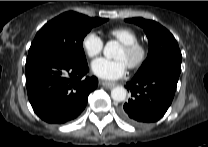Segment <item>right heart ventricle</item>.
I'll use <instances>...</instances> for the list:
<instances>
[{"label": "right heart ventricle", "mask_w": 208, "mask_h": 147, "mask_svg": "<svg viewBox=\"0 0 208 147\" xmlns=\"http://www.w3.org/2000/svg\"><path fill=\"white\" fill-rule=\"evenodd\" d=\"M109 35L119 41L121 44L133 43L138 41V36L134 30L129 27H116L109 30Z\"/></svg>", "instance_id": "obj_1"}]
</instances>
